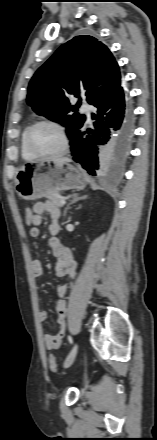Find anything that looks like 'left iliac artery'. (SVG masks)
<instances>
[{
	"mask_svg": "<svg viewBox=\"0 0 157 440\" xmlns=\"http://www.w3.org/2000/svg\"><path fill=\"white\" fill-rule=\"evenodd\" d=\"M68 340H69L70 343L73 342L71 336L68 337Z\"/></svg>",
	"mask_w": 157,
	"mask_h": 440,
	"instance_id": "1",
	"label": "left iliac artery"
}]
</instances>
